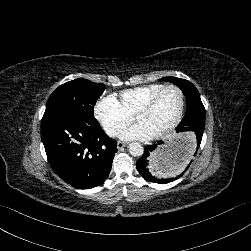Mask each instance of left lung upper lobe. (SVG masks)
Wrapping results in <instances>:
<instances>
[{
  "instance_id": "obj_1",
  "label": "left lung upper lobe",
  "mask_w": 251,
  "mask_h": 251,
  "mask_svg": "<svg viewBox=\"0 0 251 251\" xmlns=\"http://www.w3.org/2000/svg\"><path fill=\"white\" fill-rule=\"evenodd\" d=\"M160 81H169L171 83H174L177 85L182 92L184 93L187 101V110L189 108H197L201 110H205L204 106L201 102L199 92L197 91L196 87L189 81L181 78H175V77H166L160 79ZM192 118L185 115L181 123H184L186 121H191ZM200 123H205L204 121L198 120Z\"/></svg>"
}]
</instances>
